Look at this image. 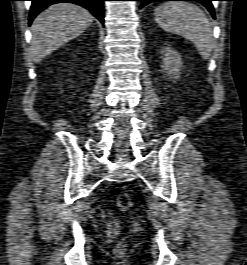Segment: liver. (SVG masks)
I'll use <instances>...</instances> for the list:
<instances>
[{"label": "liver", "instance_id": "obj_1", "mask_svg": "<svg viewBox=\"0 0 247 265\" xmlns=\"http://www.w3.org/2000/svg\"><path fill=\"white\" fill-rule=\"evenodd\" d=\"M93 22L84 8L71 3L48 7L34 20L31 31L30 57L38 63L70 40L83 33Z\"/></svg>", "mask_w": 247, "mask_h": 265}]
</instances>
